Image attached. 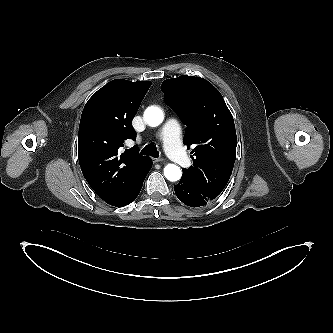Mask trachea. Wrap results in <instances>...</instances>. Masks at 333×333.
<instances>
[{"mask_svg": "<svg viewBox=\"0 0 333 333\" xmlns=\"http://www.w3.org/2000/svg\"><path fill=\"white\" fill-rule=\"evenodd\" d=\"M140 154L142 155H150L154 158H158L159 157V153L155 147L154 144H148L146 145L140 152Z\"/></svg>", "mask_w": 333, "mask_h": 333, "instance_id": "obj_1", "label": "trachea"}]
</instances>
